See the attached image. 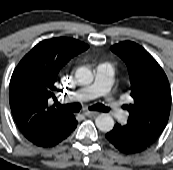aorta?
<instances>
[{
    "instance_id": "obj_1",
    "label": "aorta",
    "mask_w": 173,
    "mask_h": 170,
    "mask_svg": "<svg viewBox=\"0 0 173 170\" xmlns=\"http://www.w3.org/2000/svg\"><path fill=\"white\" fill-rule=\"evenodd\" d=\"M76 77L83 84H89L93 81L92 72L85 67L79 68L76 71ZM95 124L100 131L109 132L114 127V120L109 114L102 113L96 117Z\"/></svg>"
}]
</instances>
